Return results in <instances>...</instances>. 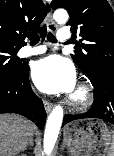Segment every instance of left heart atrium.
<instances>
[{
    "mask_svg": "<svg viewBox=\"0 0 114 156\" xmlns=\"http://www.w3.org/2000/svg\"><path fill=\"white\" fill-rule=\"evenodd\" d=\"M31 75L36 87L47 94L71 92L75 86V71L71 62L58 55L37 61Z\"/></svg>",
    "mask_w": 114,
    "mask_h": 156,
    "instance_id": "1",
    "label": "left heart atrium"
}]
</instances>
